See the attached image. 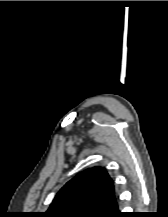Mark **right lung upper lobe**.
I'll list each match as a JSON object with an SVG mask.
<instances>
[{
  "label": "right lung upper lobe",
  "instance_id": "cb5924a9",
  "mask_svg": "<svg viewBox=\"0 0 168 217\" xmlns=\"http://www.w3.org/2000/svg\"><path fill=\"white\" fill-rule=\"evenodd\" d=\"M118 211L113 182L105 169H87L55 196L42 217H110Z\"/></svg>",
  "mask_w": 168,
  "mask_h": 217
}]
</instances>
